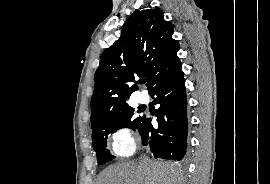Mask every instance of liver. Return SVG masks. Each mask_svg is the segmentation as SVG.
Returning <instances> with one entry per match:
<instances>
[{
  "label": "liver",
  "mask_w": 270,
  "mask_h": 184,
  "mask_svg": "<svg viewBox=\"0 0 270 184\" xmlns=\"http://www.w3.org/2000/svg\"><path fill=\"white\" fill-rule=\"evenodd\" d=\"M182 180V172L172 163L124 162L105 169L98 184H182Z\"/></svg>",
  "instance_id": "liver-1"
}]
</instances>
